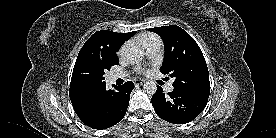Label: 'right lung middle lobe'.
I'll return each instance as SVG.
<instances>
[{"instance_id":"dd1d6c3e","label":"right lung middle lobe","mask_w":276,"mask_h":138,"mask_svg":"<svg viewBox=\"0 0 276 138\" xmlns=\"http://www.w3.org/2000/svg\"><path fill=\"white\" fill-rule=\"evenodd\" d=\"M119 64L117 57H109L100 61L81 63L74 69V76L77 83L85 88H95L105 85L104 74L114 65Z\"/></svg>"}]
</instances>
